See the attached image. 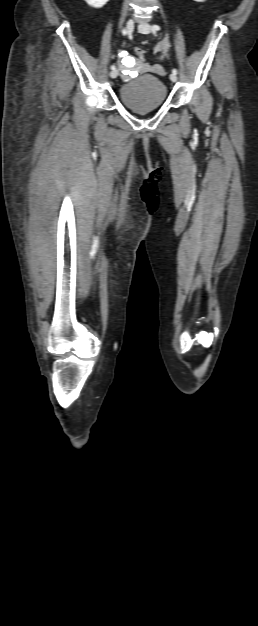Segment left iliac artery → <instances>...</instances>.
<instances>
[{"label": "left iliac artery", "instance_id": "left-iliac-artery-1", "mask_svg": "<svg viewBox=\"0 0 258 626\" xmlns=\"http://www.w3.org/2000/svg\"><path fill=\"white\" fill-rule=\"evenodd\" d=\"M151 29H152V31H153V32H155V31L160 30V26H158V25H152V26H151ZM172 73H173V74H177V69H175V68H174V69L172 70Z\"/></svg>", "mask_w": 258, "mask_h": 626}]
</instances>
